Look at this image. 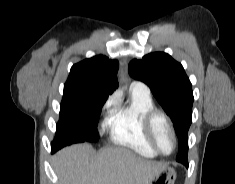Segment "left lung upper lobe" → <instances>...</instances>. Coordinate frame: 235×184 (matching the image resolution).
<instances>
[{
	"label": "left lung upper lobe",
	"instance_id": "5c2ea615",
	"mask_svg": "<svg viewBox=\"0 0 235 184\" xmlns=\"http://www.w3.org/2000/svg\"><path fill=\"white\" fill-rule=\"evenodd\" d=\"M129 75L146 83L162 108L171 117L178 136L176 160L187 163L188 130L194 101L192 85L183 66L169 54L153 52L129 63Z\"/></svg>",
	"mask_w": 235,
	"mask_h": 184
}]
</instances>
